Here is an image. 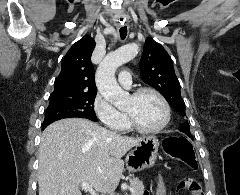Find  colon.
I'll return each instance as SVG.
<instances>
[{
	"label": "colon",
	"instance_id": "colon-1",
	"mask_svg": "<svg viewBox=\"0 0 240 195\" xmlns=\"http://www.w3.org/2000/svg\"><path fill=\"white\" fill-rule=\"evenodd\" d=\"M164 152L173 159L184 162L190 169L198 167V158L192 148L190 141L183 137L165 139L162 142ZM163 174H158V187L155 195H165ZM188 192L193 195H202V186L198 180L188 179Z\"/></svg>",
	"mask_w": 240,
	"mask_h": 195
}]
</instances>
